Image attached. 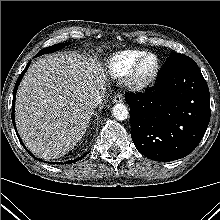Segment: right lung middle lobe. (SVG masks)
Wrapping results in <instances>:
<instances>
[{
    "instance_id": "dd1d6c3e",
    "label": "right lung middle lobe",
    "mask_w": 220,
    "mask_h": 220,
    "mask_svg": "<svg viewBox=\"0 0 220 220\" xmlns=\"http://www.w3.org/2000/svg\"><path fill=\"white\" fill-rule=\"evenodd\" d=\"M69 43L66 42V43H63V44H56V45H53V46H50V47H47V48H44L43 50H41L39 53H37L36 56L38 55H43V54H47V53H51V52H54V51H57L59 49H61L62 47L68 45Z\"/></svg>"
}]
</instances>
